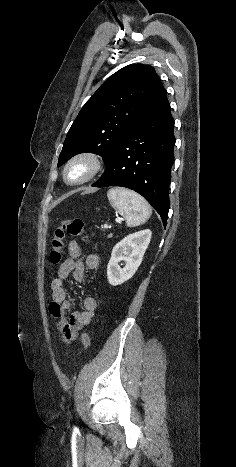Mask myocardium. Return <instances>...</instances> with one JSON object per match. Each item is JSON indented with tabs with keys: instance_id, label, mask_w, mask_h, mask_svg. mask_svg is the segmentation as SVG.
Masks as SVG:
<instances>
[{
	"instance_id": "myocardium-1",
	"label": "myocardium",
	"mask_w": 236,
	"mask_h": 467,
	"mask_svg": "<svg viewBox=\"0 0 236 467\" xmlns=\"http://www.w3.org/2000/svg\"><path fill=\"white\" fill-rule=\"evenodd\" d=\"M77 162H86L89 165V171L85 177L78 181L69 182L66 178L69 168ZM103 168V160L101 156L93 151H82L67 160L63 167L62 176L64 182L69 186H80L88 183L95 178Z\"/></svg>"
}]
</instances>
